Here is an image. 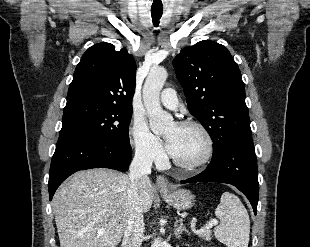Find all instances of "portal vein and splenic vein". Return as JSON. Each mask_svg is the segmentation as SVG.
Returning <instances> with one entry per match:
<instances>
[{"instance_id":"portal-vein-and-splenic-vein-1","label":"portal vein and splenic vein","mask_w":310,"mask_h":247,"mask_svg":"<svg viewBox=\"0 0 310 247\" xmlns=\"http://www.w3.org/2000/svg\"><path fill=\"white\" fill-rule=\"evenodd\" d=\"M217 223L218 222L216 220H211V221L208 222V224L204 228H201L200 230H197L196 233H200L201 231H203L205 229H209V228L213 227L214 225H216ZM98 234L99 235H104L105 231L98 230Z\"/></svg>"}]
</instances>
